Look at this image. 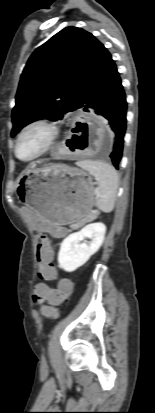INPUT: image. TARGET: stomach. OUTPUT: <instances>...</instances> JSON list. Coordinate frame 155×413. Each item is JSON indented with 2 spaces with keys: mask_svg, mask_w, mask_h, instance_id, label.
I'll return each mask as SVG.
<instances>
[{
  "mask_svg": "<svg viewBox=\"0 0 155 413\" xmlns=\"http://www.w3.org/2000/svg\"><path fill=\"white\" fill-rule=\"evenodd\" d=\"M96 189L86 172L56 164L28 167L18 180L16 194L42 218L68 225L89 216L97 203Z\"/></svg>",
  "mask_w": 155,
  "mask_h": 413,
  "instance_id": "obj_1",
  "label": "stomach"
}]
</instances>
